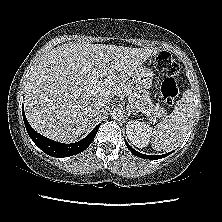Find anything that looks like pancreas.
Here are the masks:
<instances>
[{
    "mask_svg": "<svg viewBox=\"0 0 222 222\" xmlns=\"http://www.w3.org/2000/svg\"><path fill=\"white\" fill-rule=\"evenodd\" d=\"M123 93L129 98L130 103L138 112L155 118L166 116L167 111L159 104L154 105L147 92L141 91L133 85H127L123 89Z\"/></svg>",
    "mask_w": 222,
    "mask_h": 222,
    "instance_id": "obj_1",
    "label": "pancreas"
}]
</instances>
